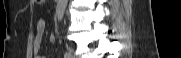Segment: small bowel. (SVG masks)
Wrapping results in <instances>:
<instances>
[{"instance_id": "obj_1", "label": "small bowel", "mask_w": 181, "mask_h": 58, "mask_svg": "<svg viewBox=\"0 0 181 58\" xmlns=\"http://www.w3.org/2000/svg\"><path fill=\"white\" fill-rule=\"evenodd\" d=\"M44 32H45V22L44 20L40 19L36 24L35 33H34L33 53L35 58H43L40 54V50H41V44L43 41ZM49 40L51 43L55 42L56 40L55 35L54 34L50 35Z\"/></svg>"}]
</instances>
